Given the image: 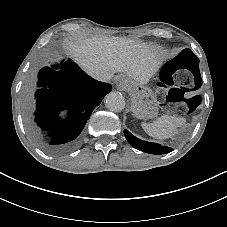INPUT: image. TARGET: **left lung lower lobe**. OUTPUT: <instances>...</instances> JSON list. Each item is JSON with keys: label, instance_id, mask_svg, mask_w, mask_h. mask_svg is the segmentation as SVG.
I'll list each match as a JSON object with an SVG mask.
<instances>
[{"label": "left lung lower lobe", "instance_id": "1", "mask_svg": "<svg viewBox=\"0 0 227 227\" xmlns=\"http://www.w3.org/2000/svg\"><path fill=\"white\" fill-rule=\"evenodd\" d=\"M124 135H125L126 139L128 140V142L134 148H136L140 151L146 152V153L160 155V154H166V153L173 151V149L168 146H162L160 144L142 141V140L136 138L135 136H133L127 130H124Z\"/></svg>", "mask_w": 227, "mask_h": 227}]
</instances>
